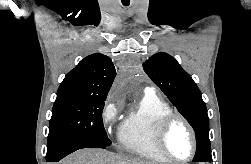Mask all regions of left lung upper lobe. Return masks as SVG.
Returning a JSON list of instances; mask_svg holds the SVG:
<instances>
[{
  "mask_svg": "<svg viewBox=\"0 0 251 164\" xmlns=\"http://www.w3.org/2000/svg\"><path fill=\"white\" fill-rule=\"evenodd\" d=\"M143 69L194 128L197 151L193 161L212 162L207 109L191 76L166 53L151 56L143 63Z\"/></svg>",
  "mask_w": 251,
  "mask_h": 164,
  "instance_id": "obj_1",
  "label": "left lung upper lobe"
}]
</instances>
